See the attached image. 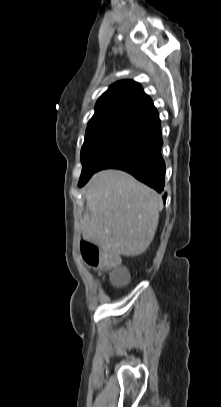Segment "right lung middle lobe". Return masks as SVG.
Listing matches in <instances>:
<instances>
[{
    "instance_id": "obj_1",
    "label": "right lung middle lobe",
    "mask_w": 221,
    "mask_h": 407,
    "mask_svg": "<svg viewBox=\"0 0 221 407\" xmlns=\"http://www.w3.org/2000/svg\"><path fill=\"white\" fill-rule=\"evenodd\" d=\"M139 127L114 126L85 135L81 149L82 173L78 186H83L102 163Z\"/></svg>"
}]
</instances>
